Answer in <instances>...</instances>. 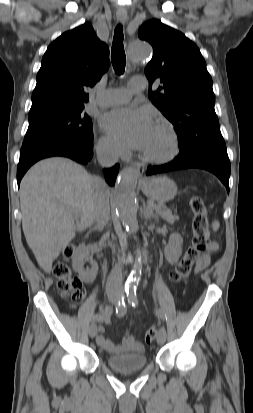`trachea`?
Returning <instances> with one entry per match:
<instances>
[{
	"mask_svg": "<svg viewBox=\"0 0 253 413\" xmlns=\"http://www.w3.org/2000/svg\"><path fill=\"white\" fill-rule=\"evenodd\" d=\"M123 39V26L121 24H118L114 31V38L111 48L112 64L117 75H122L124 73L126 65Z\"/></svg>",
	"mask_w": 253,
	"mask_h": 413,
	"instance_id": "trachea-1",
	"label": "trachea"
}]
</instances>
